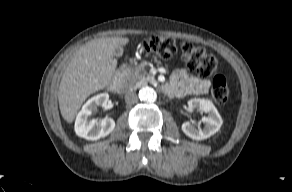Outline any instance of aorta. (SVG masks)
<instances>
[{
  "label": "aorta",
  "mask_w": 292,
  "mask_h": 192,
  "mask_svg": "<svg viewBox=\"0 0 292 192\" xmlns=\"http://www.w3.org/2000/svg\"><path fill=\"white\" fill-rule=\"evenodd\" d=\"M139 98L144 103H153L157 99V93L152 87L145 86L139 90Z\"/></svg>",
  "instance_id": "1"
}]
</instances>
